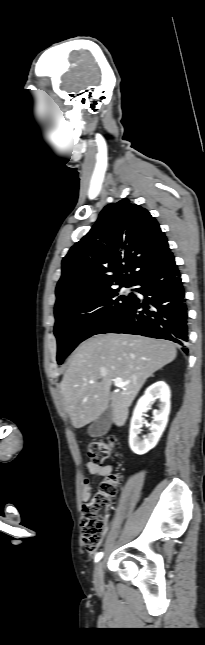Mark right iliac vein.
Returning <instances> with one entry per match:
<instances>
[{
  "label": "right iliac vein",
  "mask_w": 205,
  "mask_h": 645,
  "mask_svg": "<svg viewBox=\"0 0 205 645\" xmlns=\"http://www.w3.org/2000/svg\"><path fill=\"white\" fill-rule=\"evenodd\" d=\"M94 583L97 587H101L103 584V562L100 561L95 566L94 571Z\"/></svg>",
  "instance_id": "63e3f726"
}]
</instances>
